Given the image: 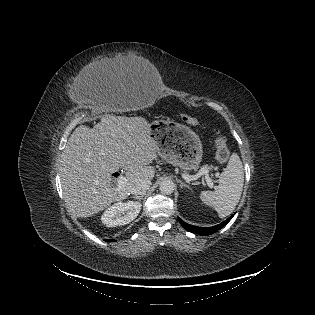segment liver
Here are the masks:
<instances>
[{
    "instance_id": "1",
    "label": "liver",
    "mask_w": 315,
    "mask_h": 315,
    "mask_svg": "<svg viewBox=\"0 0 315 315\" xmlns=\"http://www.w3.org/2000/svg\"><path fill=\"white\" fill-rule=\"evenodd\" d=\"M157 142L150 137L149 122L141 116H104L92 129L78 126L60 160L65 202L77 217H90L115 201L125 199L132 186L153 179L150 166L157 157ZM126 170L127 182L115 192L112 174Z\"/></svg>"
}]
</instances>
